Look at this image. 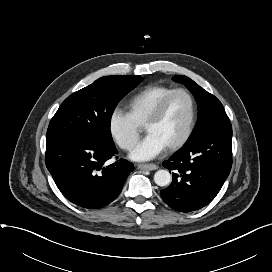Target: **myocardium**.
Masks as SVG:
<instances>
[{"label":"myocardium","mask_w":272,"mask_h":272,"mask_svg":"<svg viewBox=\"0 0 272 272\" xmlns=\"http://www.w3.org/2000/svg\"><path fill=\"white\" fill-rule=\"evenodd\" d=\"M178 94H183L188 98V100L190 102V118H189L188 125H187V128H186L183 136L177 142H175L174 144H172L166 148L167 151H169V152L177 151L178 149L183 147L187 143V141L190 139V137L194 131V128L196 125V119H197V105H196V101H195V98L193 97V95L187 89H184V88L174 89L173 91L168 93L158 103V105L155 107V109L153 110V112L151 113V115L149 116V118L147 119V121L145 123V128L157 123L161 119V117L163 116V114H164L168 104L172 100V98Z\"/></svg>","instance_id":"f54148a6"}]
</instances>
